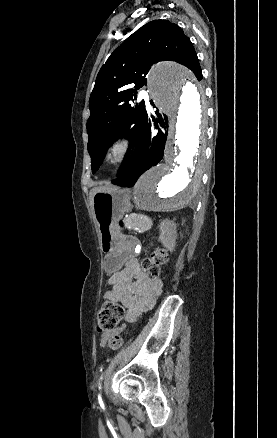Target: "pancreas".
I'll return each instance as SVG.
<instances>
[{
  "label": "pancreas",
  "mask_w": 277,
  "mask_h": 438,
  "mask_svg": "<svg viewBox=\"0 0 277 438\" xmlns=\"http://www.w3.org/2000/svg\"><path fill=\"white\" fill-rule=\"evenodd\" d=\"M124 225L130 233H146L149 220L143 214H129L124 220Z\"/></svg>",
  "instance_id": "pancreas-1"
}]
</instances>
